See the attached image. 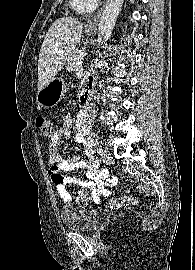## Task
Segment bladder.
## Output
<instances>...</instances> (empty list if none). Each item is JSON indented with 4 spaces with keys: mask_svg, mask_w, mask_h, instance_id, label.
I'll return each instance as SVG.
<instances>
[{
    "mask_svg": "<svg viewBox=\"0 0 195 270\" xmlns=\"http://www.w3.org/2000/svg\"><path fill=\"white\" fill-rule=\"evenodd\" d=\"M66 229L75 232L91 231L99 221V211L88 204H69L60 210Z\"/></svg>",
    "mask_w": 195,
    "mask_h": 270,
    "instance_id": "bladder-1",
    "label": "bladder"
}]
</instances>
